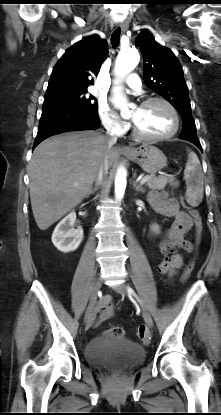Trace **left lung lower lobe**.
I'll return each mask as SVG.
<instances>
[{
	"mask_svg": "<svg viewBox=\"0 0 221 415\" xmlns=\"http://www.w3.org/2000/svg\"><path fill=\"white\" fill-rule=\"evenodd\" d=\"M179 138L193 143L202 151V147L197 137L196 130L194 129L182 130Z\"/></svg>",
	"mask_w": 221,
	"mask_h": 415,
	"instance_id": "0a47b994",
	"label": "left lung lower lobe"
}]
</instances>
